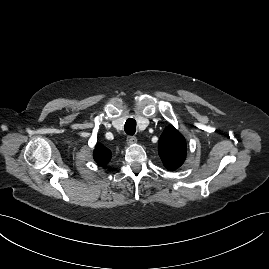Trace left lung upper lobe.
Instances as JSON below:
<instances>
[{
    "label": "left lung upper lobe",
    "mask_w": 269,
    "mask_h": 269,
    "mask_svg": "<svg viewBox=\"0 0 269 269\" xmlns=\"http://www.w3.org/2000/svg\"><path fill=\"white\" fill-rule=\"evenodd\" d=\"M158 153L169 170H175L183 164L186 158V141L173 126H167L162 133Z\"/></svg>",
    "instance_id": "obj_1"
}]
</instances>
